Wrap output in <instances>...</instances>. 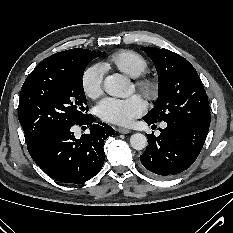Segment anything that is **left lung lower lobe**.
Masks as SVG:
<instances>
[{
	"instance_id": "left-lung-lower-lobe-1",
	"label": "left lung lower lobe",
	"mask_w": 233,
	"mask_h": 233,
	"mask_svg": "<svg viewBox=\"0 0 233 233\" xmlns=\"http://www.w3.org/2000/svg\"><path fill=\"white\" fill-rule=\"evenodd\" d=\"M148 125L154 122L144 119ZM161 134H148L146 151L140 156L142 165L159 176H170L188 169L197 159L208 134V127L190 121L166 122Z\"/></svg>"
}]
</instances>
